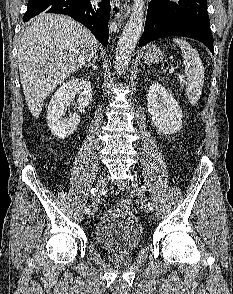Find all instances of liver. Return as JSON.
<instances>
[{
  "label": "liver",
  "mask_w": 233,
  "mask_h": 294,
  "mask_svg": "<svg viewBox=\"0 0 233 294\" xmlns=\"http://www.w3.org/2000/svg\"><path fill=\"white\" fill-rule=\"evenodd\" d=\"M97 40L83 25L62 15L40 14L26 28L18 51L26 103L37 118L46 97L71 73L96 56Z\"/></svg>",
  "instance_id": "liver-1"
}]
</instances>
